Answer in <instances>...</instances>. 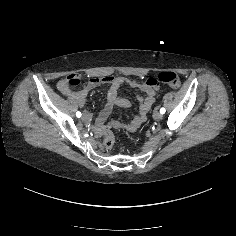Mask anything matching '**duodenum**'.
Masks as SVG:
<instances>
[{"mask_svg": "<svg viewBox=\"0 0 236 236\" xmlns=\"http://www.w3.org/2000/svg\"><path fill=\"white\" fill-rule=\"evenodd\" d=\"M106 82L112 84L111 90H110V93H109V101H110V103H115V104H118L120 106H126V101L122 100V99H119L116 96V89L119 87V85L121 84L122 81L119 80V79H115V78H108V79H106ZM132 85L134 87L143 88L146 91V93H147V97L144 99V101H143V103L141 105V108H142V107H144L147 104V102L149 101V99L153 95L152 89L148 85L140 86V85H138L135 82H133ZM72 97L77 101L78 104H82L83 101H84V99L82 97H80V96H72ZM115 126L116 127L131 128L133 126V123H130V124H127V125H121L120 123H115Z\"/></svg>", "mask_w": 236, "mask_h": 236, "instance_id": "obj_1", "label": "duodenum"}]
</instances>
